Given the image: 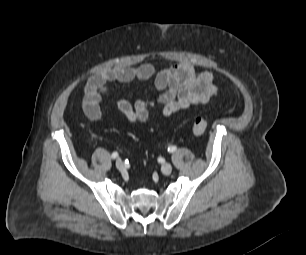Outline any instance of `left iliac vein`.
<instances>
[{
	"label": "left iliac vein",
	"instance_id": "obj_1",
	"mask_svg": "<svg viewBox=\"0 0 306 255\" xmlns=\"http://www.w3.org/2000/svg\"><path fill=\"white\" fill-rule=\"evenodd\" d=\"M172 169H173V167L170 163H164L161 166V171L165 175H169L172 172Z\"/></svg>",
	"mask_w": 306,
	"mask_h": 255
}]
</instances>
